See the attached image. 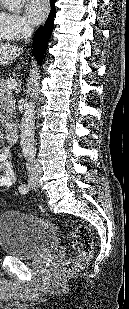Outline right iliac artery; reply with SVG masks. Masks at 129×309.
Here are the masks:
<instances>
[{"label": "right iliac artery", "instance_id": "obj_1", "mask_svg": "<svg viewBox=\"0 0 129 309\" xmlns=\"http://www.w3.org/2000/svg\"><path fill=\"white\" fill-rule=\"evenodd\" d=\"M28 191H29V186L26 185V184H22V185L19 187V192H20L21 194H26Z\"/></svg>", "mask_w": 129, "mask_h": 309}]
</instances>
